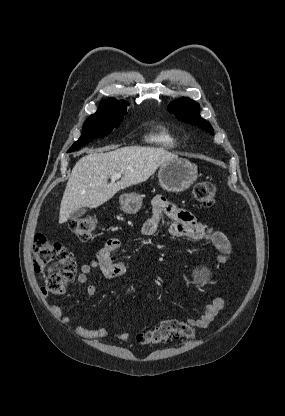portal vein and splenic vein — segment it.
<instances>
[{"label":"portal vein and splenic vein","mask_w":285,"mask_h":416,"mask_svg":"<svg viewBox=\"0 0 285 416\" xmlns=\"http://www.w3.org/2000/svg\"><path fill=\"white\" fill-rule=\"evenodd\" d=\"M121 178V174H112L110 180H112V182H115V180H120Z\"/></svg>","instance_id":"1"}]
</instances>
